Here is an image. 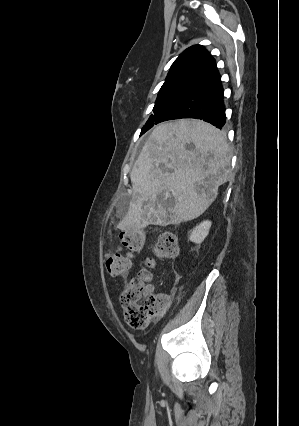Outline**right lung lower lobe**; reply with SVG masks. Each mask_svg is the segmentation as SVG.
I'll return each mask as SVG.
<instances>
[{"instance_id": "1", "label": "right lung lower lobe", "mask_w": 299, "mask_h": 426, "mask_svg": "<svg viewBox=\"0 0 299 426\" xmlns=\"http://www.w3.org/2000/svg\"><path fill=\"white\" fill-rule=\"evenodd\" d=\"M223 98L224 91L218 78L184 95L163 113L158 123L171 119L196 118L222 128L226 119Z\"/></svg>"}]
</instances>
